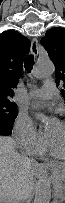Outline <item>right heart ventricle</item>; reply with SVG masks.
<instances>
[{
    "instance_id": "1",
    "label": "right heart ventricle",
    "mask_w": 65,
    "mask_h": 203,
    "mask_svg": "<svg viewBox=\"0 0 65 203\" xmlns=\"http://www.w3.org/2000/svg\"><path fill=\"white\" fill-rule=\"evenodd\" d=\"M45 151H46V147L43 146V147L39 148L38 150L32 152V154H35V155H37V154H43V153H45Z\"/></svg>"
}]
</instances>
